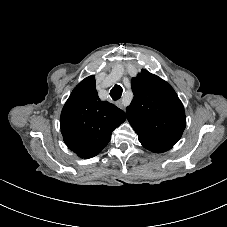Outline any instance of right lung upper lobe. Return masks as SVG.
I'll list each match as a JSON object with an SVG mask.
<instances>
[{
    "mask_svg": "<svg viewBox=\"0 0 227 227\" xmlns=\"http://www.w3.org/2000/svg\"><path fill=\"white\" fill-rule=\"evenodd\" d=\"M95 85L94 76L81 81L66 101L60 118L65 144L85 159L99 154L110 141L112 131L126 119L124 111L99 99Z\"/></svg>",
    "mask_w": 227,
    "mask_h": 227,
    "instance_id": "obj_1",
    "label": "right lung upper lobe"
}]
</instances>
